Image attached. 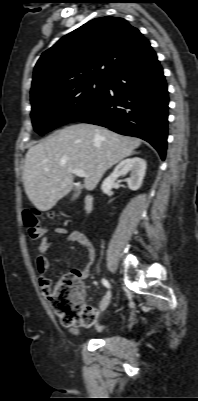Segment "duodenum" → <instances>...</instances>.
<instances>
[{"mask_svg": "<svg viewBox=\"0 0 198 401\" xmlns=\"http://www.w3.org/2000/svg\"><path fill=\"white\" fill-rule=\"evenodd\" d=\"M94 209V196L92 194H87L85 197V210L87 213H92Z\"/></svg>", "mask_w": 198, "mask_h": 401, "instance_id": "obj_1", "label": "duodenum"}]
</instances>
